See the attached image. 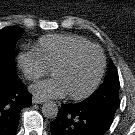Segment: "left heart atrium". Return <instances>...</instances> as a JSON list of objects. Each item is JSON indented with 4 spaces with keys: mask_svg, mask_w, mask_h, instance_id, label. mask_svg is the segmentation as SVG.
Here are the masks:
<instances>
[{
    "mask_svg": "<svg viewBox=\"0 0 135 135\" xmlns=\"http://www.w3.org/2000/svg\"><path fill=\"white\" fill-rule=\"evenodd\" d=\"M30 91L34 96L43 100L61 98L68 93L61 79L55 75L35 83L30 87Z\"/></svg>",
    "mask_w": 135,
    "mask_h": 135,
    "instance_id": "1",
    "label": "left heart atrium"
}]
</instances>
